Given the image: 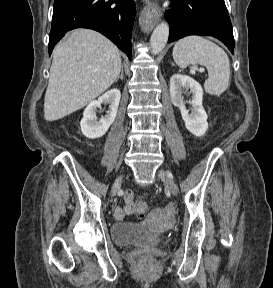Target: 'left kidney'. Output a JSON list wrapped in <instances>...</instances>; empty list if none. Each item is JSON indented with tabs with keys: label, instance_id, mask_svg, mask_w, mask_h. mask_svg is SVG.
<instances>
[{
	"label": "left kidney",
	"instance_id": "obj_1",
	"mask_svg": "<svg viewBox=\"0 0 273 288\" xmlns=\"http://www.w3.org/2000/svg\"><path fill=\"white\" fill-rule=\"evenodd\" d=\"M190 89L192 93L191 113L186 109L183 90ZM170 96L174 106L181 112L185 127L196 137L203 136L208 129L207 114L202 106L203 89L201 85L187 75L174 74L170 79Z\"/></svg>",
	"mask_w": 273,
	"mask_h": 288
}]
</instances>
